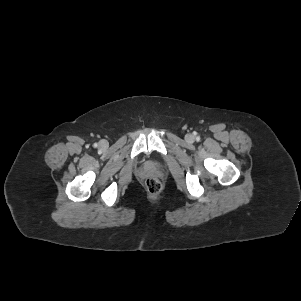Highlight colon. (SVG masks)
<instances>
[{
	"label": "colon",
	"instance_id": "obj_1",
	"mask_svg": "<svg viewBox=\"0 0 301 301\" xmlns=\"http://www.w3.org/2000/svg\"><path fill=\"white\" fill-rule=\"evenodd\" d=\"M145 187L151 194H158L162 190V184L155 178H148L145 182Z\"/></svg>",
	"mask_w": 301,
	"mask_h": 301
}]
</instances>
